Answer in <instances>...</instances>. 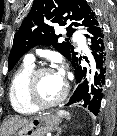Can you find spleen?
<instances>
[{"label": "spleen", "instance_id": "3e777b00", "mask_svg": "<svg viewBox=\"0 0 117 136\" xmlns=\"http://www.w3.org/2000/svg\"><path fill=\"white\" fill-rule=\"evenodd\" d=\"M58 114H59V116H61V117L67 118L68 120L71 119L70 113H69L68 111L60 110V111L58 112Z\"/></svg>", "mask_w": 117, "mask_h": 136}]
</instances>
